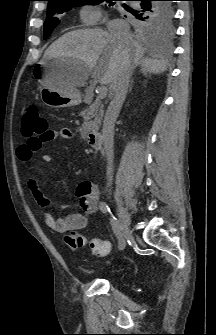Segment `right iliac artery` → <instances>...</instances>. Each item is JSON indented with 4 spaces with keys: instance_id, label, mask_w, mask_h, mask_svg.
I'll list each match as a JSON object with an SVG mask.
<instances>
[{
    "instance_id": "obj_1",
    "label": "right iliac artery",
    "mask_w": 216,
    "mask_h": 335,
    "mask_svg": "<svg viewBox=\"0 0 216 335\" xmlns=\"http://www.w3.org/2000/svg\"><path fill=\"white\" fill-rule=\"evenodd\" d=\"M100 210L105 214H111L110 208L106 202H100ZM110 224H111L114 234L116 235L118 239V250L121 251L125 248V244H126L125 239L122 234V225L113 215H111L110 217Z\"/></svg>"
}]
</instances>
